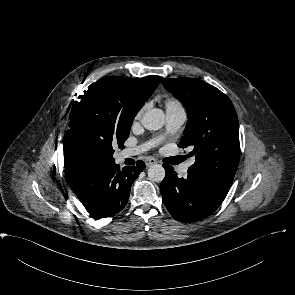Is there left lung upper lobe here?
<instances>
[{"instance_id":"obj_1","label":"left lung upper lobe","mask_w":295,"mask_h":295,"mask_svg":"<svg viewBox=\"0 0 295 295\" xmlns=\"http://www.w3.org/2000/svg\"><path fill=\"white\" fill-rule=\"evenodd\" d=\"M164 87L186 108L188 122L178 145L193 148L195 163L188 174L215 192L227 195L239 162L238 117L219 89L195 78H164Z\"/></svg>"}]
</instances>
